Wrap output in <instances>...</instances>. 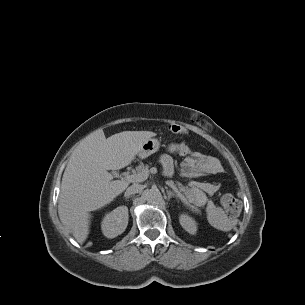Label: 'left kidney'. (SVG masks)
Here are the masks:
<instances>
[{
  "label": "left kidney",
  "instance_id": "obj_1",
  "mask_svg": "<svg viewBox=\"0 0 305 305\" xmlns=\"http://www.w3.org/2000/svg\"><path fill=\"white\" fill-rule=\"evenodd\" d=\"M179 221L182 228L185 229L189 234H196L197 224L190 216L186 214H181L179 217Z\"/></svg>",
  "mask_w": 305,
  "mask_h": 305
}]
</instances>
